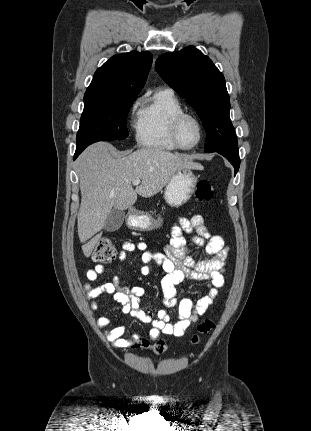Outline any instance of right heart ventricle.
Here are the masks:
<instances>
[{
	"label": "right heart ventricle",
	"instance_id": "right-heart-ventricle-1",
	"mask_svg": "<svg viewBox=\"0 0 311 431\" xmlns=\"http://www.w3.org/2000/svg\"><path fill=\"white\" fill-rule=\"evenodd\" d=\"M183 111L181 100L172 90H158L139 112L135 123L137 144L157 151L178 150L172 138L171 125L174 117Z\"/></svg>",
	"mask_w": 311,
	"mask_h": 431
}]
</instances>
